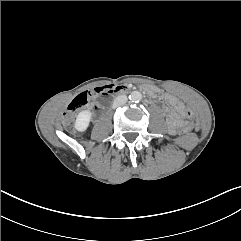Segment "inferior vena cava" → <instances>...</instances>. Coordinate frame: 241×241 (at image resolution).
<instances>
[{
	"label": "inferior vena cava",
	"instance_id": "obj_1",
	"mask_svg": "<svg viewBox=\"0 0 241 241\" xmlns=\"http://www.w3.org/2000/svg\"><path fill=\"white\" fill-rule=\"evenodd\" d=\"M127 96L125 95H119L114 99L113 102V108H117L119 106H123L127 102Z\"/></svg>",
	"mask_w": 241,
	"mask_h": 241
}]
</instances>
